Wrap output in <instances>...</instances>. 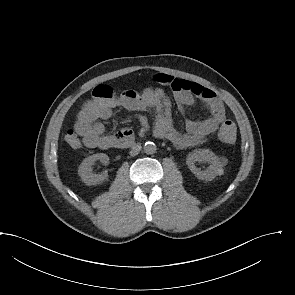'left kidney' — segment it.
<instances>
[{
    "mask_svg": "<svg viewBox=\"0 0 295 295\" xmlns=\"http://www.w3.org/2000/svg\"><path fill=\"white\" fill-rule=\"evenodd\" d=\"M196 162H207L210 166L206 170H201L196 167ZM186 164L191 172L200 180L211 181L224 172L223 163L220 158L209 149H198L190 152L187 155Z\"/></svg>",
    "mask_w": 295,
    "mask_h": 295,
    "instance_id": "left-kidney-1",
    "label": "left kidney"
}]
</instances>
